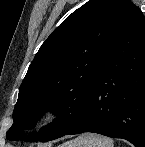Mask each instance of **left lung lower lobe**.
I'll return each instance as SVG.
<instances>
[{
    "instance_id": "left-lung-lower-lobe-1",
    "label": "left lung lower lobe",
    "mask_w": 145,
    "mask_h": 147,
    "mask_svg": "<svg viewBox=\"0 0 145 147\" xmlns=\"http://www.w3.org/2000/svg\"><path fill=\"white\" fill-rule=\"evenodd\" d=\"M83 132L145 147V18L133 3L81 117L71 130L51 140Z\"/></svg>"
}]
</instances>
